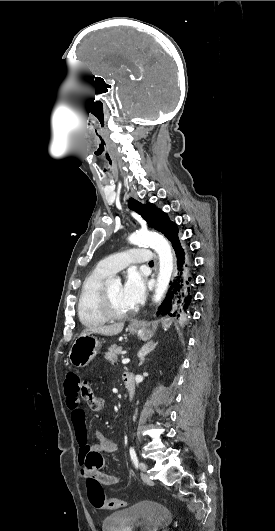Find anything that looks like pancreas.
I'll list each match as a JSON object with an SVG mask.
<instances>
[{
	"mask_svg": "<svg viewBox=\"0 0 275 531\" xmlns=\"http://www.w3.org/2000/svg\"><path fill=\"white\" fill-rule=\"evenodd\" d=\"M122 353V347H117V345H111L104 357L106 361H110L111 365H114L117 361L118 355Z\"/></svg>",
	"mask_w": 275,
	"mask_h": 531,
	"instance_id": "pancreas-1",
	"label": "pancreas"
}]
</instances>
